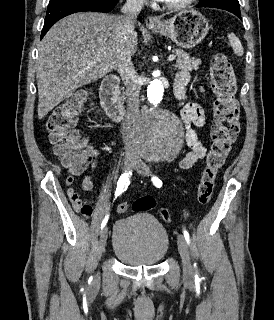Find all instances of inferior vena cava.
Returning a JSON list of instances; mask_svg holds the SVG:
<instances>
[{"label":"inferior vena cava","mask_w":274,"mask_h":320,"mask_svg":"<svg viewBox=\"0 0 274 320\" xmlns=\"http://www.w3.org/2000/svg\"><path fill=\"white\" fill-rule=\"evenodd\" d=\"M146 0H126L121 12L123 16L119 18L116 24L117 42L124 44L121 48L119 58L118 72L126 86V116L123 124V140L128 142L127 134L135 124L140 108V90L139 76H137L134 66L131 62L130 42L132 38H137L135 32V20L140 14ZM131 148V146H129Z\"/></svg>","instance_id":"602c4592"}]
</instances>
